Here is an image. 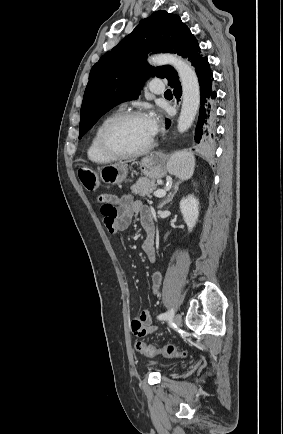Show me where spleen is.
I'll return each mask as SVG.
<instances>
[{"mask_svg": "<svg viewBox=\"0 0 283 434\" xmlns=\"http://www.w3.org/2000/svg\"><path fill=\"white\" fill-rule=\"evenodd\" d=\"M195 167V158L192 153L180 151L170 157L167 163L169 173L181 180H188L192 177Z\"/></svg>", "mask_w": 283, "mask_h": 434, "instance_id": "1", "label": "spleen"}]
</instances>
